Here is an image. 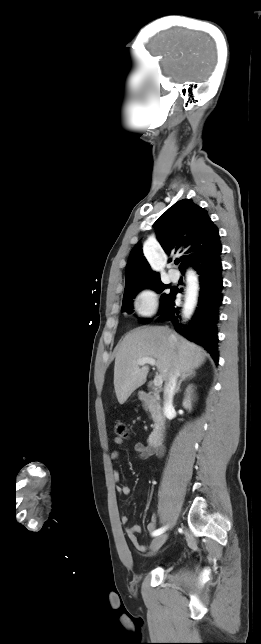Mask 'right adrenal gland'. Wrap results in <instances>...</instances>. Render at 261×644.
Instances as JSON below:
<instances>
[{
  "label": "right adrenal gland",
  "instance_id": "obj_1",
  "mask_svg": "<svg viewBox=\"0 0 261 644\" xmlns=\"http://www.w3.org/2000/svg\"><path fill=\"white\" fill-rule=\"evenodd\" d=\"M195 376H196V373H195V372H190V373L182 374L181 379H180V381L178 382V385H177V387H176L175 393H178V392H179V390H180V386H181V383H182L183 381H185V380H187V379H189V380H190V379L194 378Z\"/></svg>",
  "mask_w": 261,
  "mask_h": 644
}]
</instances>
